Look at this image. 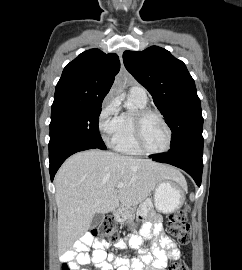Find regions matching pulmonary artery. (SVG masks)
Masks as SVG:
<instances>
[{"instance_id":"1","label":"pulmonary artery","mask_w":242,"mask_h":270,"mask_svg":"<svg viewBox=\"0 0 242 270\" xmlns=\"http://www.w3.org/2000/svg\"><path fill=\"white\" fill-rule=\"evenodd\" d=\"M129 96L141 102L147 101V92L145 88L140 85L131 87L129 90Z\"/></svg>"}]
</instances>
